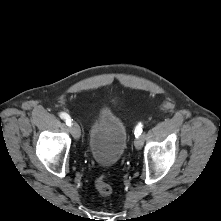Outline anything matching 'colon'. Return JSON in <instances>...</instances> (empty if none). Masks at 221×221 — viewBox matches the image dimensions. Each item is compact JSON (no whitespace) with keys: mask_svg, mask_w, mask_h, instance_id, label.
Listing matches in <instances>:
<instances>
[{"mask_svg":"<svg viewBox=\"0 0 221 221\" xmlns=\"http://www.w3.org/2000/svg\"><path fill=\"white\" fill-rule=\"evenodd\" d=\"M95 188L102 196H108L113 192L112 185L107 181L104 175H101L96 179Z\"/></svg>","mask_w":221,"mask_h":221,"instance_id":"5ec220e1","label":"colon"}]
</instances>
